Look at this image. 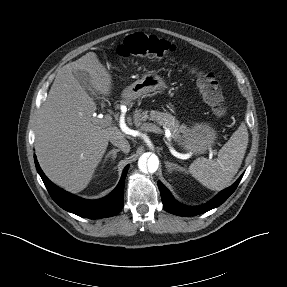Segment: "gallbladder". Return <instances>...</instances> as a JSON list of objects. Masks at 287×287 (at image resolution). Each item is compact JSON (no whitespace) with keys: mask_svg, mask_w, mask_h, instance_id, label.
<instances>
[{"mask_svg":"<svg viewBox=\"0 0 287 287\" xmlns=\"http://www.w3.org/2000/svg\"><path fill=\"white\" fill-rule=\"evenodd\" d=\"M75 78L78 80L80 85L85 89V91L92 97V98H98L97 92L94 90L91 81L90 76L88 73L84 71H78L74 73Z\"/></svg>","mask_w":287,"mask_h":287,"instance_id":"bac80fb5","label":"gallbladder"}]
</instances>
